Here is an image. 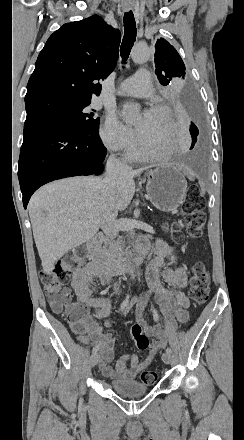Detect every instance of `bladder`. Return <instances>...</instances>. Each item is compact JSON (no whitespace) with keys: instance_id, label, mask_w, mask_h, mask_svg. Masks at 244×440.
<instances>
[{"instance_id":"obj_1","label":"bladder","mask_w":244,"mask_h":440,"mask_svg":"<svg viewBox=\"0 0 244 440\" xmlns=\"http://www.w3.org/2000/svg\"><path fill=\"white\" fill-rule=\"evenodd\" d=\"M113 391L125 396H135L148 393V386H144L141 380L117 381L113 383Z\"/></svg>"}]
</instances>
